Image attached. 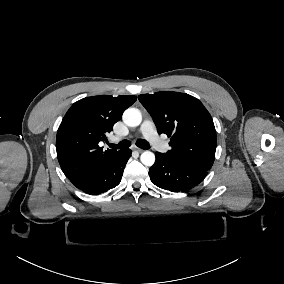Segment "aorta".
Wrapping results in <instances>:
<instances>
[{
  "label": "aorta",
  "instance_id": "aorta-1",
  "mask_svg": "<svg viewBox=\"0 0 284 284\" xmlns=\"http://www.w3.org/2000/svg\"><path fill=\"white\" fill-rule=\"evenodd\" d=\"M141 121V112L136 108H128L123 113V122L129 127L139 126ZM140 159L145 166H152L155 163V155L151 151L143 152Z\"/></svg>",
  "mask_w": 284,
  "mask_h": 284
}]
</instances>
